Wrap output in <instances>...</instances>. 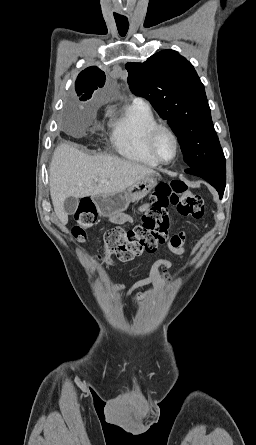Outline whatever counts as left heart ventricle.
Wrapping results in <instances>:
<instances>
[{
  "instance_id": "left-heart-ventricle-1",
  "label": "left heart ventricle",
  "mask_w": 256,
  "mask_h": 445,
  "mask_svg": "<svg viewBox=\"0 0 256 445\" xmlns=\"http://www.w3.org/2000/svg\"><path fill=\"white\" fill-rule=\"evenodd\" d=\"M157 151L162 159L169 161L175 154V144L168 133H161L157 139Z\"/></svg>"
}]
</instances>
